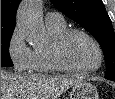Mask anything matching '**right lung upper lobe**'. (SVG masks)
<instances>
[{
  "label": "right lung upper lobe",
  "instance_id": "obj_1",
  "mask_svg": "<svg viewBox=\"0 0 115 99\" xmlns=\"http://www.w3.org/2000/svg\"><path fill=\"white\" fill-rule=\"evenodd\" d=\"M21 0H1V30H14L16 11Z\"/></svg>",
  "mask_w": 115,
  "mask_h": 99
}]
</instances>
